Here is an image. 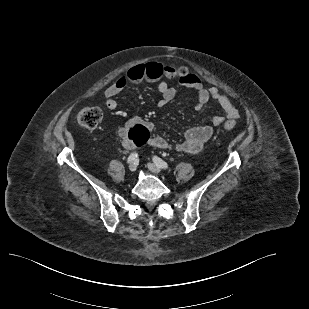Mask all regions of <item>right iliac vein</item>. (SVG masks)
<instances>
[{"label":"right iliac vein","instance_id":"63e3f726","mask_svg":"<svg viewBox=\"0 0 309 309\" xmlns=\"http://www.w3.org/2000/svg\"><path fill=\"white\" fill-rule=\"evenodd\" d=\"M136 169H137V165L135 163H132V164L129 165V170L131 172H135Z\"/></svg>","mask_w":309,"mask_h":309}]
</instances>
